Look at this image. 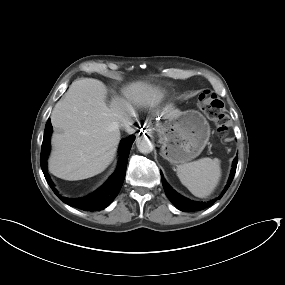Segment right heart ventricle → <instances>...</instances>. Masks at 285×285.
<instances>
[{
    "label": "right heart ventricle",
    "mask_w": 285,
    "mask_h": 285,
    "mask_svg": "<svg viewBox=\"0 0 285 285\" xmlns=\"http://www.w3.org/2000/svg\"><path fill=\"white\" fill-rule=\"evenodd\" d=\"M160 98V95H158V94H153V95H151V97H150V100H157V99H159Z\"/></svg>",
    "instance_id": "obj_1"
}]
</instances>
